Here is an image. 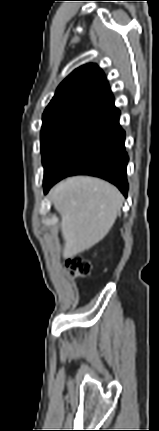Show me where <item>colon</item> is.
<instances>
[{"label": "colon", "instance_id": "obj_1", "mask_svg": "<svg viewBox=\"0 0 159 431\" xmlns=\"http://www.w3.org/2000/svg\"><path fill=\"white\" fill-rule=\"evenodd\" d=\"M69 274L72 277L83 278L86 277L91 270L90 263L81 256H74L66 262Z\"/></svg>", "mask_w": 159, "mask_h": 431}]
</instances>
